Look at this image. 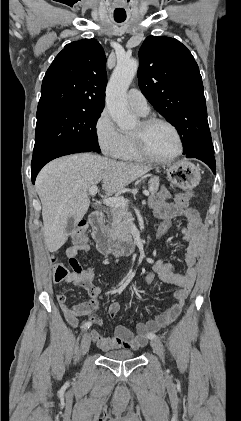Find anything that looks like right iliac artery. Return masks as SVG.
Segmentation results:
<instances>
[{"mask_svg": "<svg viewBox=\"0 0 241 421\" xmlns=\"http://www.w3.org/2000/svg\"><path fill=\"white\" fill-rule=\"evenodd\" d=\"M91 326V322H86L84 325H83V330H86V329H88L89 327Z\"/></svg>", "mask_w": 241, "mask_h": 421, "instance_id": "obj_1", "label": "right iliac artery"}]
</instances>
